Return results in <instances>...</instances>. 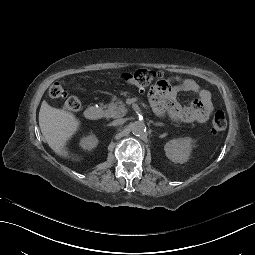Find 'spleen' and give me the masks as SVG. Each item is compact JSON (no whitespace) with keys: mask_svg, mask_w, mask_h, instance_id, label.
Returning a JSON list of instances; mask_svg holds the SVG:
<instances>
[{"mask_svg":"<svg viewBox=\"0 0 255 255\" xmlns=\"http://www.w3.org/2000/svg\"><path fill=\"white\" fill-rule=\"evenodd\" d=\"M212 158H213V156H210L209 160H211ZM209 160H208V161H209Z\"/></svg>","mask_w":255,"mask_h":255,"instance_id":"3e777b00","label":"spleen"}]
</instances>
